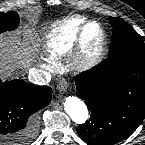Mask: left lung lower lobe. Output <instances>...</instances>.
<instances>
[{"mask_svg": "<svg viewBox=\"0 0 145 145\" xmlns=\"http://www.w3.org/2000/svg\"><path fill=\"white\" fill-rule=\"evenodd\" d=\"M90 119L77 128L87 143L110 145L129 137L145 117V59L118 56L75 78Z\"/></svg>", "mask_w": 145, "mask_h": 145, "instance_id": "left-lung-lower-lobe-1", "label": "left lung lower lobe"}]
</instances>
